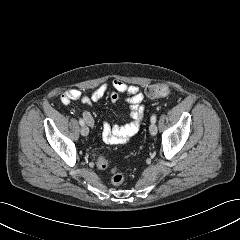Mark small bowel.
Instances as JSON below:
<instances>
[{
	"instance_id": "small-bowel-1",
	"label": "small bowel",
	"mask_w": 240,
	"mask_h": 240,
	"mask_svg": "<svg viewBox=\"0 0 240 240\" xmlns=\"http://www.w3.org/2000/svg\"><path fill=\"white\" fill-rule=\"evenodd\" d=\"M109 95L111 101L116 104L119 94L126 95V102L129 105L130 121L125 125H111L104 123L101 136L104 142L109 144H122L131 139L139 130L144 113V96L136 85L127 84L119 79H114L110 85H101L90 96L84 95L78 89H69L61 96V103L69 104L73 100H80L83 104L90 106L105 95ZM83 119L86 124L93 128L95 121L89 111H84Z\"/></svg>"
}]
</instances>
